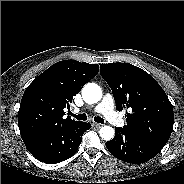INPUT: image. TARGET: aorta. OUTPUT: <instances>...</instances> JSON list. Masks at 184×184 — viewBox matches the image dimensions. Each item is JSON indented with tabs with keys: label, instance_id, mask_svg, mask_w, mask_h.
<instances>
[{
	"label": "aorta",
	"instance_id": "1",
	"mask_svg": "<svg viewBox=\"0 0 184 184\" xmlns=\"http://www.w3.org/2000/svg\"><path fill=\"white\" fill-rule=\"evenodd\" d=\"M83 100L88 104H94L101 100L102 90L95 83H88L82 89ZM115 131L111 126H104L99 130L102 139L109 141L114 137Z\"/></svg>",
	"mask_w": 184,
	"mask_h": 184
}]
</instances>
